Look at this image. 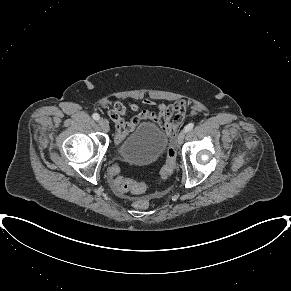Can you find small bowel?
I'll return each mask as SVG.
<instances>
[{
	"label": "small bowel",
	"mask_w": 291,
	"mask_h": 291,
	"mask_svg": "<svg viewBox=\"0 0 291 291\" xmlns=\"http://www.w3.org/2000/svg\"><path fill=\"white\" fill-rule=\"evenodd\" d=\"M143 107L131 103L129 109L134 113L127 118V108L120 102H114L108 110V114L115 124L116 135L115 145H119L142 121H150L161 128L167 136H174L180 125L183 123L189 103L185 100H178L172 104L156 103L149 98H142Z\"/></svg>",
	"instance_id": "1"
}]
</instances>
